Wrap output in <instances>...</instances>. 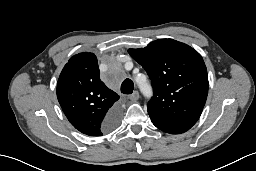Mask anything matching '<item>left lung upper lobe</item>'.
I'll use <instances>...</instances> for the list:
<instances>
[{
    "label": "left lung upper lobe",
    "instance_id": "5c2ea615",
    "mask_svg": "<svg viewBox=\"0 0 256 171\" xmlns=\"http://www.w3.org/2000/svg\"><path fill=\"white\" fill-rule=\"evenodd\" d=\"M128 52L151 79L154 96L147 109L153 124L169 134L189 130L199 119L208 94L202 56L173 39H159Z\"/></svg>",
    "mask_w": 256,
    "mask_h": 171
}]
</instances>
